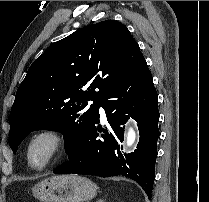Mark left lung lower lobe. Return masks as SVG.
Returning a JSON list of instances; mask_svg holds the SVG:
<instances>
[{
    "instance_id": "left-lung-lower-lobe-1",
    "label": "left lung lower lobe",
    "mask_w": 209,
    "mask_h": 202,
    "mask_svg": "<svg viewBox=\"0 0 209 202\" xmlns=\"http://www.w3.org/2000/svg\"><path fill=\"white\" fill-rule=\"evenodd\" d=\"M157 102L153 78L145 62L99 101L85 136L70 148L69 160L54 173L124 176L136 181L151 199L159 138ZM99 107L106 112L108 125L105 129L96 126ZM125 114L137 121L140 140L134 153L123 155L120 142L124 140L123 125L128 118Z\"/></svg>"
}]
</instances>
